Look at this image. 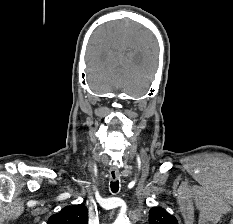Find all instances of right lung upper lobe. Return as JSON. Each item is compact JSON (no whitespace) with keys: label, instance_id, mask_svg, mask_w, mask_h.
I'll use <instances>...</instances> for the list:
<instances>
[{"label":"right lung upper lobe","instance_id":"right-lung-upper-lobe-1","mask_svg":"<svg viewBox=\"0 0 233 224\" xmlns=\"http://www.w3.org/2000/svg\"><path fill=\"white\" fill-rule=\"evenodd\" d=\"M47 224H88V210L83 204L64 207Z\"/></svg>","mask_w":233,"mask_h":224}]
</instances>
